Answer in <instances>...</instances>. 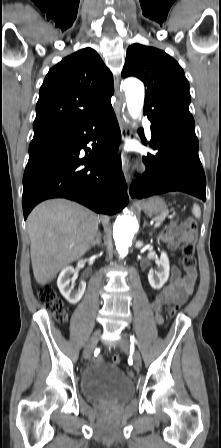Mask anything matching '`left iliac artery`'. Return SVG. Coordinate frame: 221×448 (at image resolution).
<instances>
[{
    "label": "left iliac artery",
    "instance_id": "1",
    "mask_svg": "<svg viewBox=\"0 0 221 448\" xmlns=\"http://www.w3.org/2000/svg\"><path fill=\"white\" fill-rule=\"evenodd\" d=\"M130 341H131V344H133L134 342H136L134 336H131V337H130Z\"/></svg>",
    "mask_w": 221,
    "mask_h": 448
}]
</instances>
